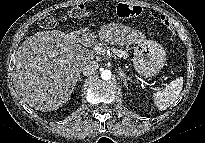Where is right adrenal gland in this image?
Segmentation results:
<instances>
[{"mask_svg":"<svg viewBox=\"0 0 205 143\" xmlns=\"http://www.w3.org/2000/svg\"><path fill=\"white\" fill-rule=\"evenodd\" d=\"M82 77H83V76H79V77H78V79L76 80V82L74 83V85H73V87H72V92L74 91L77 82L82 81Z\"/></svg>","mask_w":205,"mask_h":143,"instance_id":"obj_1","label":"right adrenal gland"}]
</instances>
